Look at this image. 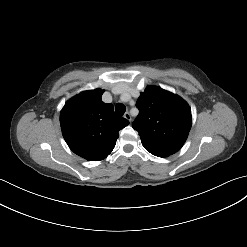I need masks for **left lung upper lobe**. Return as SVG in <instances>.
Returning a JSON list of instances; mask_svg holds the SVG:
<instances>
[{
    "label": "left lung upper lobe",
    "instance_id": "left-lung-upper-lobe-1",
    "mask_svg": "<svg viewBox=\"0 0 247 247\" xmlns=\"http://www.w3.org/2000/svg\"><path fill=\"white\" fill-rule=\"evenodd\" d=\"M136 107L139 114L132 127L148 152L167 157L181 149L192 124L191 109L182 98L160 87L148 86Z\"/></svg>",
    "mask_w": 247,
    "mask_h": 247
}]
</instances>
